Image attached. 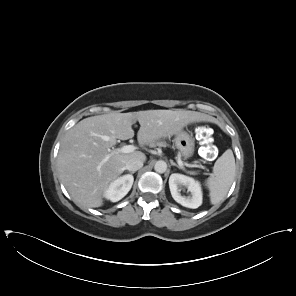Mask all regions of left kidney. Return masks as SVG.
<instances>
[{"label": "left kidney", "instance_id": "5707ae66", "mask_svg": "<svg viewBox=\"0 0 296 296\" xmlns=\"http://www.w3.org/2000/svg\"><path fill=\"white\" fill-rule=\"evenodd\" d=\"M182 187H186L191 196H182ZM169 188L173 199L184 207L196 209L202 204V190L198 181L183 174L173 173L169 178Z\"/></svg>", "mask_w": 296, "mask_h": 296}]
</instances>
